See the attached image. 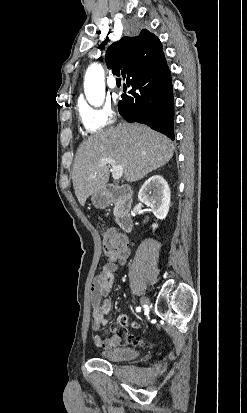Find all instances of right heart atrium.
I'll list each match as a JSON object with an SVG mask.
<instances>
[{
  "instance_id": "d8ad5b80",
  "label": "right heart atrium",
  "mask_w": 247,
  "mask_h": 413,
  "mask_svg": "<svg viewBox=\"0 0 247 413\" xmlns=\"http://www.w3.org/2000/svg\"><path fill=\"white\" fill-rule=\"evenodd\" d=\"M76 108L88 133H102L109 114L114 113L113 105H89L88 100H77Z\"/></svg>"
}]
</instances>
